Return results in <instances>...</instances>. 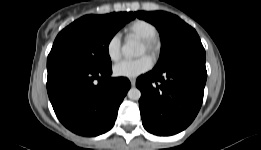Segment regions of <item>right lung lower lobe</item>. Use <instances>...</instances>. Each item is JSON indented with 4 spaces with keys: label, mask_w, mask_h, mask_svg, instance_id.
Masks as SVG:
<instances>
[{
    "label": "right lung lower lobe",
    "mask_w": 261,
    "mask_h": 150,
    "mask_svg": "<svg viewBox=\"0 0 261 150\" xmlns=\"http://www.w3.org/2000/svg\"><path fill=\"white\" fill-rule=\"evenodd\" d=\"M111 74V67L48 70L49 99L65 127L82 136H97L112 128L131 84L127 78H112Z\"/></svg>",
    "instance_id": "98d812e1"
}]
</instances>
